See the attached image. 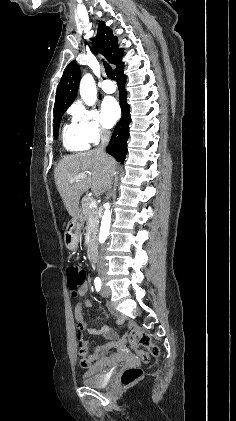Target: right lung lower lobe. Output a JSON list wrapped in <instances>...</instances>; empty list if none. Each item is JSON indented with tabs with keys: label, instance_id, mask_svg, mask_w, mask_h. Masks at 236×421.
Listing matches in <instances>:
<instances>
[{
	"label": "right lung lower lobe",
	"instance_id": "obj_1",
	"mask_svg": "<svg viewBox=\"0 0 236 421\" xmlns=\"http://www.w3.org/2000/svg\"><path fill=\"white\" fill-rule=\"evenodd\" d=\"M124 65L115 73L117 85L120 93V106L122 109V118L117 123L110 143L107 146V153L112 155L118 162L125 160L127 154V140L129 138V123L131 122L129 109L130 106L126 102L127 93L124 89L126 77L123 75Z\"/></svg>",
	"mask_w": 236,
	"mask_h": 421
}]
</instances>
